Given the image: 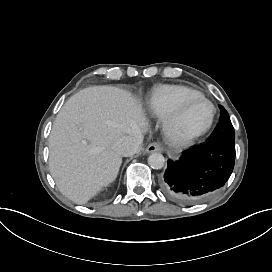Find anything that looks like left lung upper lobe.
I'll list each match as a JSON object with an SVG mask.
<instances>
[{"label":"left lung upper lobe","instance_id":"obj_1","mask_svg":"<svg viewBox=\"0 0 272 272\" xmlns=\"http://www.w3.org/2000/svg\"><path fill=\"white\" fill-rule=\"evenodd\" d=\"M219 107L221 110L219 125L213 135L207 140V142L234 146L235 133L228 112L224 109L223 106Z\"/></svg>","mask_w":272,"mask_h":272}]
</instances>
